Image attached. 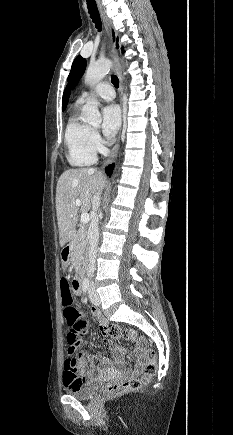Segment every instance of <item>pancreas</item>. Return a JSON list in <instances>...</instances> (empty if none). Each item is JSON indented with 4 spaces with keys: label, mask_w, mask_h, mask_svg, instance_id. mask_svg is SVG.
Returning <instances> with one entry per match:
<instances>
[{
    "label": "pancreas",
    "mask_w": 233,
    "mask_h": 435,
    "mask_svg": "<svg viewBox=\"0 0 233 435\" xmlns=\"http://www.w3.org/2000/svg\"><path fill=\"white\" fill-rule=\"evenodd\" d=\"M87 232L84 227H81L77 234L75 235L74 240L71 243V254L70 261L74 266L75 270L78 271L81 269V265L83 264L85 248L87 244Z\"/></svg>",
    "instance_id": "1"
}]
</instances>
